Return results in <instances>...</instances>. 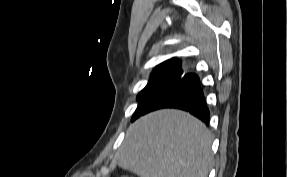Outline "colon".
<instances>
[{"instance_id":"1","label":"colon","mask_w":287,"mask_h":177,"mask_svg":"<svg viewBox=\"0 0 287 177\" xmlns=\"http://www.w3.org/2000/svg\"><path fill=\"white\" fill-rule=\"evenodd\" d=\"M120 177H129V176H120Z\"/></svg>"}]
</instances>
